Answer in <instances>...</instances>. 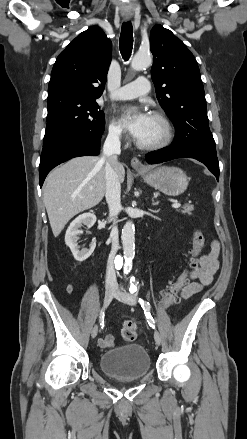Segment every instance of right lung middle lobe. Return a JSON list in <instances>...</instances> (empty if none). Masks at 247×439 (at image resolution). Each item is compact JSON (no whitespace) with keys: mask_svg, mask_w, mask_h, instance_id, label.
Instances as JSON below:
<instances>
[{"mask_svg":"<svg viewBox=\"0 0 247 439\" xmlns=\"http://www.w3.org/2000/svg\"><path fill=\"white\" fill-rule=\"evenodd\" d=\"M104 112L93 100H66L48 107L43 146L63 139L104 131Z\"/></svg>","mask_w":247,"mask_h":439,"instance_id":"dd1d6c3e","label":"right lung middle lobe"}]
</instances>
